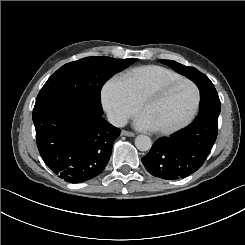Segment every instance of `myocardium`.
I'll list each match as a JSON object with an SVG mask.
<instances>
[{"label": "myocardium", "instance_id": "1", "mask_svg": "<svg viewBox=\"0 0 245 245\" xmlns=\"http://www.w3.org/2000/svg\"><path fill=\"white\" fill-rule=\"evenodd\" d=\"M181 83L187 84L191 88L192 94H193L192 105H191L188 113L184 116V118L182 120H180L175 125H172L169 127L152 128L153 131L160 133V134H163V135H169V134H172V133L184 128L186 125H188L190 123V121L193 119V117H194V115L198 109L199 102H200V93H199L197 86L191 80H189L187 78H183V77L168 80V81L163 82V83H153V84L147 86L141 92L139 99L137 101L138 111L141 109V107L144 104V102L146 101V99L152 93H154L156 91H162V90L172 88L175 85L181 84Z\"/></svg>", "mask_w": 245, "mask_h": 245}]
</instances>
